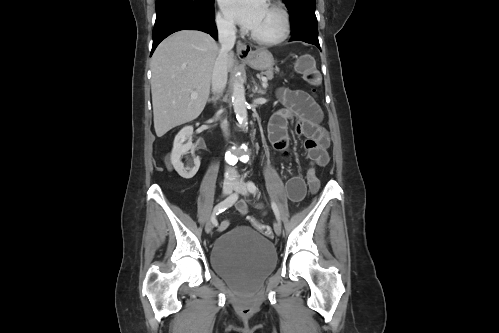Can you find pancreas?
<instances>
[{"label": "pancreas", "mask_w": 499, "mask_h": 333, "mask_svg": "<svg viewBox=\"0 0 499 333\" xmlns=\"http://www.w3.org/2000/svg\"><path fill=\"white\" fill-rule=\"evenodd\" d=\"M275 71L279 72V69H276ZM263 74L267 77V79H272L274 71L272 69H270V70L265 71Z\"/></svg>", "instance_id": "pancreas-1"}]
</instances>
